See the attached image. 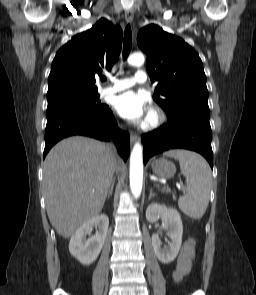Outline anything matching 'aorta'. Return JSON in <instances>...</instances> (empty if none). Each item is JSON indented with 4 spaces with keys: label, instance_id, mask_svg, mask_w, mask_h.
Wrapping results in <instances>:
<instances>
[{
    "label": "aorta",
    "instance_id": "obj_1",
    "mask_svg": "<svg viewBox=\"0 0 256 295\" xmlns=\"http://www.w3.org/2000/svg\"><path fill=\"white\" fill-rule=\"evenodd\" d=\"M145 58L142 53H134L128 58L132 66H142ZM143 184V150L141 143H135L130 155V188L134 198H139Z\"/></svg>",
    "mask_w": 256,
    "mask_h": 295
}]
</instances>
